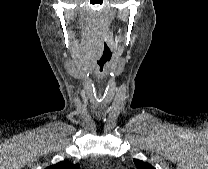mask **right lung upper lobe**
Here are the masks:
<instances>
[{
	"label": "right lung upper lobe",
	"instance_id": "obj_1",
	"mask_svg": "<svg viewBox=\"0 0 208 169\" xmlns=\"http://www.w3.org/2000/svg\"><path fill=\"white\" fill-rule=\"evenodd\" d=\"M45 169H79V164H73L68 160L46 167Z\"/></svg>",
	"mask_w": 208,
	"mask_h": 169
}]
</instances>
